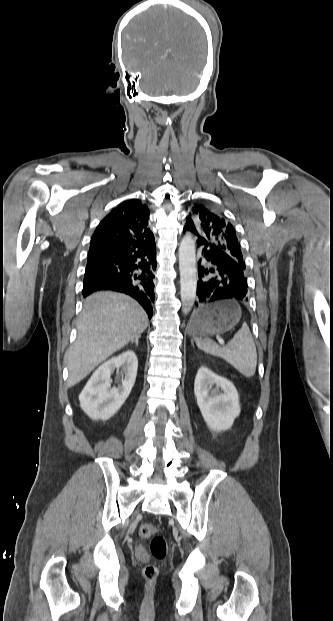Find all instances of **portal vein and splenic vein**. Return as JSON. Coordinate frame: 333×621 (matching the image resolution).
<instances>
[{"label": "portal vein and splenic vein", "mask_w": 333, "mask_h": 621, "mask_svg": "<svg viewBox=\"0 0 333 621\" xmlns=\"http://www.w3.org/2000/svg\"><path fill=\"white\" fill-rule=\"evenodd\" d=\"M218 342H219L220 344L224 345V340H222V339H218Z\"/></svg>", "instance_id": "1"}]
</instances>
